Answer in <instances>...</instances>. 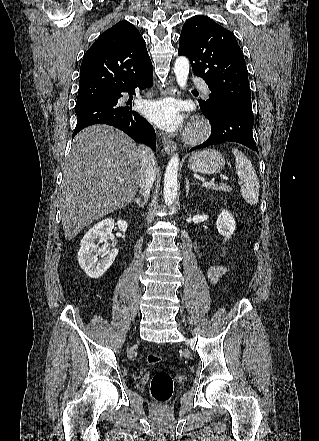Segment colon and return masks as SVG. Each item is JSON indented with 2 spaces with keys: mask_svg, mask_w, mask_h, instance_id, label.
<instances>
[{
  "mask_svg": "<svg viewBox=\"0 0 319 441\" xmlns=\"http://www.w3.org/2000/svg\"><path fill=\"white\" fill-rule=\"evenodd\" d=\"M146 359L151 365H157L162 361V357L158 354H149ZM173 387V378L170 373L164 370L158 371L151 380V396L159 405H165L172 396Z\"/></svg>",
  "mask_w": 319,
  "mask_h": 441,
  "instance_id": "obj_1",
  "label": "colon"
}]
</instances>
